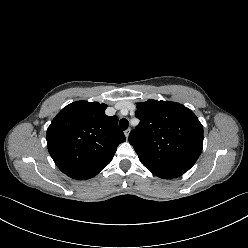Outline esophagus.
<instances>
[{
	"mask_svg": "<svg viewBox=\"0 0 248 248\" xmlns=\"http://www.w3.org/2000/svg\"><path fill=\"white\" fill-rule=\"evenodd\" d=\"M129 133H130V129H127V130L124 131V134H125V137H126V138H128Z\"/></svg>",
	"mask_w": 248,
	"mask_h": 248,
	"instance_id": "34e87169",
	"label": "esophagus"
}]
</instances>
